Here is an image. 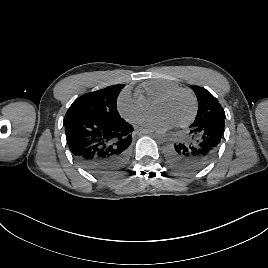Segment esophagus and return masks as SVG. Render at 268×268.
Wrapping results in <instances>:
<instances>
[{"label": "esophagus", "instance_id": "obj_1", "mask_svg": "<svg viewBox=\"0 0 268 268\" xmlns=\"http://www.w3.org/2000/svg\"><path fill=\"white\" fill-rule=\"evenodd\" d=\"M152 131L146 130V129H142V128H137L136 129V133L138 135H143V134H147V133H151Z\"/></svg>", "mask_w": 268, "mask_h": 268}]
</instances>
